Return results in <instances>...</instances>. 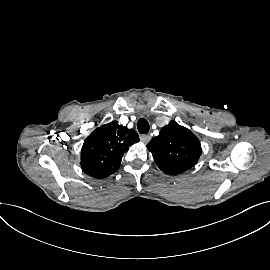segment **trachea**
Here are the masks:
<instances>
[{
  "label": "trachea",
  "mask_w": 270,
  "mask_h": 270,
  "mask_svg": "<svg viewBox=\"0 0 270 270\" xmlns=\"http://www.w3.org/2000/svg\"><path fill=\"white\" fill-rule=\"evenodd\" d=\"M137 128L141 134H146L149 132L150 127L148 121L142 118L137 122Z\"/></svg>",
  "instance_id": "3493384b"
}]
</instances>
